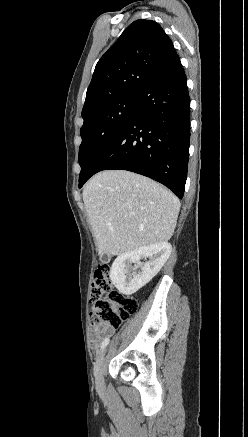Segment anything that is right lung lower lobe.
Listing matches in <instances>:
<instances>
[{"label":"right lung lower lobe","instance_id":"obj_1","mask_svg":"<svg viewBox=\"0 0 248 437\" xmlns=\"http://www.w3.org/2000/svg\"><path fill=\"white\" fill-rule=\"evenodd\" d=\"M190 140V98L179 56L138 94L119 131L93 160L95 173L122 169L150 177L183 197Z\"/></svg>","mask_w":248,"mask_h":437}]
</instances>
